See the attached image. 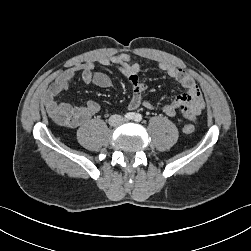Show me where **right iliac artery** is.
<instances>
[{
    "label": "right iliac artery",
    "instance_id": "right-iliac-artery-1",
    "mask_svg": "<svg viewBox=\"0 0 251 251\" xmlns=\"http://www.w3.org/2000/svg\"><path fill=\"white\" fill-rule=\"evenodd\" d=\"M134 117H135V113H131V112L126 113V114L124 115V118L127 119V120H131V119H133Z\"/></svg>",
    "mask_w": 251,
    "mask_h": 251
}]
</instances>
